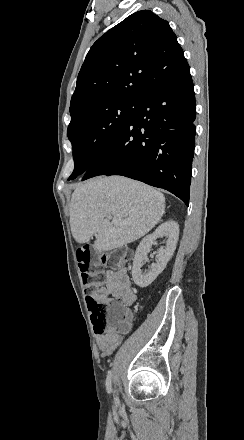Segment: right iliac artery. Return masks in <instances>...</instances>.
Returning <instances> with one entry per match:
<instances>
[{"mask_svg": "<svg viewBox=\"0 0 244 440\" xmlns=\"http://www.w3.org/2000/svg\"><path fill=\"white\" fill-rule=\"evenodd\" d=\"M111 381H112V372L109 371L106 379V390L108 393L112 392Z\"/></svg>", "mask_w": 244, "mask_h": 440, "instance_id": "right-iliac-artery-1", "label": "right iliac artery"}]
</instances>
